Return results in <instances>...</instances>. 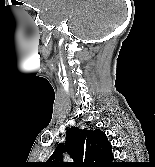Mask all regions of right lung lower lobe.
Returning a JSON list of instances; mask_svg holds the SVG:
<instances>
[{
    "label": "right lung lower lobe",
    "mask_w": 155,
    "mask_h": 167,
    "mask_svg": "<svg viewBox=\"0 0 155 167\" xmlns=\"http://www.w3.org/2000/svg\"><path fill=\"white\" fill-rule=\"evenodd\" d=\"M115 166H117V165L114 164V165H112L111 167H115Z\"/></svg>",
    "instance_id": "right-lung-lower-lobe-1"
}]
</instances>
